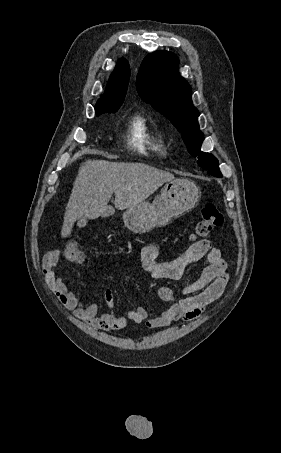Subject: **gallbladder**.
Here are the masks:
<instances>
[{
	"label": "gallbladder",
	"instance_id": "1",
	"mask_svg": "<svg viewBox=\"0 0 281 453\" xmlns=\"http://www.w3.org/2000/svg\"><path fill=\"white\" fill-rule=\"evenodd\" d=\"M86 223H87V222H86L85 220H84V221L82 220V221H80V222H79V221H76V222L74 223V226H75L76 228H79V227H80V228L83 229V228L86 227V225H87Z\"/></svg>",
	"mask_w": 281,
	"mask_h": 453
}]
</instances>
